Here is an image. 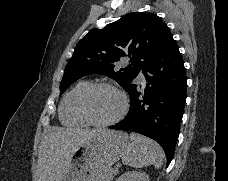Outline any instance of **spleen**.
<instances>
[{
	"instance_id": "3e777b00",
	"label": "spleen",
	"mask_w": 228,
	"mask_h": 181,
	"mask_svg": "<svg viewBox=\"0 0 228 181\" xmlns=\"http://www.w3.org/2000/svg\"><path fill=\"white\" fill-rule=\"evenodd\" d=\"M163 149L158 143L142 137V135H130V145L125 147L121 159L124 165L134 167V169H142L154 165L155 169H160L163 163Z\"/></svg>"
}]
</instances>
